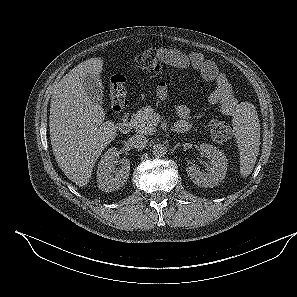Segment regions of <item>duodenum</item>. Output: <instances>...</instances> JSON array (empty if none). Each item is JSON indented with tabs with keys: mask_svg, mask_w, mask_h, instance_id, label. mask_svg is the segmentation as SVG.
I'll use <instances>...</instances> for the list:
<instances>
[{
	"mask_svg": "<svg viewBox=\"0 0 297 297\" xmlns=\"http://www.w3.org/2000/svg\"><path fill=\"white\" fill-rule=\"evenodd\" d=\"M117 128L119 132L122 134H126L131 130L132 124L128 114H125L121 118V120L117 124ZM189 128H190V125L188 123L177 122L174 129L177 133H186L189 130Z\"/></svg>",
	"mask_w": 297,
	"mask_h": 297,
	"instance_id": "410a0bca",
	"label": "duodenum"
}]
</instances>
